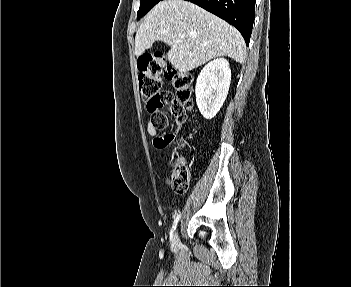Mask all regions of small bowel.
Listing matches in <instances>:
<instances>
[{
	"mask_svg": "<svg viewBox=\"0 0 351 287\" xmlns=\"http://www.w3.org/2000/svg\"><path fill=\"white\" fill-rule=\"evenodd\" d=\"M186 121V117L181 119L177 117V129L173 133H169L163 136H157L158 131L152 126L150 121L147 122L146 128L149 135L153 136V147L154 148H171V143L177 136L178 131L181 129L183 123Z\"/></svg>",
	"mask_w": 351,
	"mask_h": 287,
	"instance_id": "small-bowel-1",
	"label": "small bowel"
}]
</instances>
